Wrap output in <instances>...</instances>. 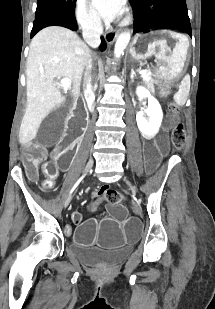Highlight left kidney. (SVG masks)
Segmentation results:
<instances>
[{
  "label": "left kidney",
  "mask_w": 215,
  "mask_h": 309,
  "mask_svg": "<svg viewBox=\"0 0 215 309\" xmlns=\"http://www.w3.org/2000/svg\"><path fill=\"white\" fill-rule=\"evenodd\" d=\"M136 94L137 96H148V106L145 110H139V112H137L136 120L142 134H145L147 138H151V136L157 134L161 126L163 118L161 104L155 96L150 94L147 88H144V86H137ZM145 112L147 116H145Z\"/></svg>",
  "instance_id": "left-kidney-1"
}]
</instances>
